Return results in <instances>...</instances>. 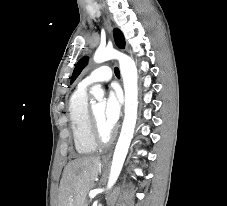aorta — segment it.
Instances as JSON below:
<instances>
[{"instance_id":"aorta-1","label":"aorta","mask_w":227,"mask_h":206,"mask_svg":"<svg viewBox=\"0 0 227 206\" xmlns=\"http://www.w3.org/2000/svg\"><path fill=\"white\" fill-rule=\"evenodd\" d=\"M93 59L96 63H103L111 59H117L119 61L125 91V116L113 155L107 185V188L110 189L119 177L129 145L133 138L138 109V75L134 60L113 48L97 49ZM91 94L95 99L100 100L104 96V91L100 86H94L91 88Z\"/></svg>"}]
</instances>
